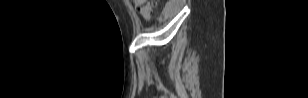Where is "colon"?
I'll use <instances>...</instances> for the list:
<instances>
[{"instance_id": "1", "label": "colon", "mask_w": 308, "mask_h": 98, "mask_svg": "<svg viewBox=\"0 0 308 98\" xmlns=\"http://www.w3.org/2000/svg\"><path fill=\"white\" fill-rule=\"evenodd\" d=\"M134 3L139 8L140 13L145 19H150L155 12V1H147V0H134Z\"/></svg>"}]
</instances>
